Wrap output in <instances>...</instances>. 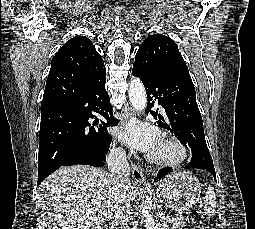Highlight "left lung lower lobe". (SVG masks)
<instances>
[{
    "instance_id": "obj_1",
    "label": "left lung lower lobe",
    "mask_w": 255,
    "mask_h": 229,
    "mask_svg": "<svg viewBox=\"0 0 255 229\" xmlns=\"http://www.w3.org/2000/svg\"><path fill=\"white\" fill-rule=\"evenodd\" d=\"M133 75L139 77L148 97L147 109L161 127L172 131L182 143L192 150V159L184 168H197L210 172L216 179L212 157L209 153L203 129L202 117L196 103V92L191 77L171 68H144L133 64ZM165 109V123L158 110L152 111L155 101ZM172 171L162 169L156 180Z\"/></svg>"
}]
</instances>
